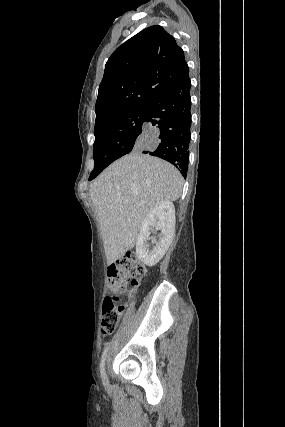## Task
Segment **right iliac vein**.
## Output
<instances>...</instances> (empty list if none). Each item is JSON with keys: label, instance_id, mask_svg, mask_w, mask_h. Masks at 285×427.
Listing matches in <instances>:
<instances>
[{"label": "right iliac vein", "instance_id": "1", "mask_svg": "<svg viewBox=\"0 0 285 427\" xmlns=\"http://www.w3.org/2000/svg\"><path fill=\"white\" fill-rule=\"evenodd\" d=\"M103 383L104 384H107L108 383V378H107V376L105 377V379L103 380Z\"/></svg>", "mask_w": 285, "mask_h": 427}]
</instances>
